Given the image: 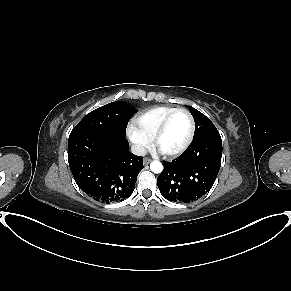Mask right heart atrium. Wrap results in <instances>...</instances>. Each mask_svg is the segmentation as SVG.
I'll list each match as a JSON object with an SVG mask.
<instances>
[{"instance_id": "obj_1", "label": "right heart atrium", "mask_w": 291, "mask_h": 291, "mask_svg": "<svg viewBox=\"0 0 291 291\" xmlns=\"http://www.w3.org/2000/svg\"><path fill=\"white\" fill-rule=\"evenodd\" d=\"M127 135L139 153L143 152L150 144V139L136 125L128 126Z\"/></svg>"}]
</instances>
